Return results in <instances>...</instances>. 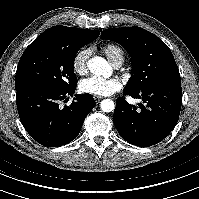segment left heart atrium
Returning a JSON list of instances; mask_svg holds the SVG:
<instances>
[{
  "label": "left heart atrium",
  "mask_w": 199,
  "mask_h": 199,
  "mask_svg": "<svg viewBox=\"0 0 199 199\" xmlns=\"http://www.w3.org/2000/svg\"><path fill=\"white\" fill-rule=\"evenodd\" d=\"M122 84L116 78L87 77L80 81L79 90L93 96H108L119 89Z\"/></svg>",
  "instance_id": "left-heart-atrium-1"
}]
</instances>
